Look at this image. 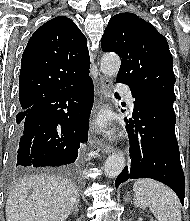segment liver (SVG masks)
Instances as JSON below:
<instances>
[{"mask_svg":"<svg viewBox=\"0 0 190 221\" xmlns=\"http://www.w3.org/2000/svg\"><path fill=\"white\" fill-rule=\"evenodd\" d=\"M77 187L55 175L25 177L6 202L7 221H65L78 197Z\"/></svg>","mask_w":190,"mask_h":221,"instance_id":"6515ba94","label":"liver"}]
</instances>
